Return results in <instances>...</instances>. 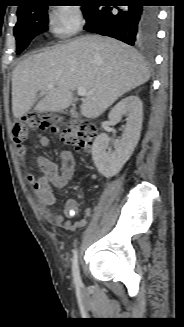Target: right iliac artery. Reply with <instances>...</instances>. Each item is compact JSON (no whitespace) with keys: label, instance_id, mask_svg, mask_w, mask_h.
<instances>
[{"label":"right iliac artery","instance_id":"obj_1","mask_svg":"<svg viewBox=\"0 0 184 327\" xmlns=\"http://www.w3.org/2000/svg\"><path fill=\"white\" fill-rule=\"evenodd\" d=\"M73 260H72V273L74 277V282L76 286H81L82 281L80 277L79 267H78V257H77V250H74Z\"/></svg>","mask_w":184,"mask_h":327}]
</instances>
